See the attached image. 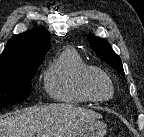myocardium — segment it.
I'll use <instances>...</instances> for the list:
<instances>
[{
	"label": "myocardium",
	"instance_id": "1",
	"mask_svg": "<svg viewBox=\"0 0 144 137\" xmlns=\"http://www.w3.org/2000/svg\"><path fill=\"white\" fill-rule=\"evenodd\" d=\"M97 76L105 79L109 83L110 88H111V93L109 96L101 97L97 95L96 92L94 91L93 81H94V78ZM80 86H81L83 93L92 101L106 102L112 99L115 94V85L111 76L105 70L99 67H95V66H89L84 71V73L81 76Z\"/></svg>",
	"mask_w": 144,
	"mask_h": 137
}]
</instances>
